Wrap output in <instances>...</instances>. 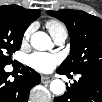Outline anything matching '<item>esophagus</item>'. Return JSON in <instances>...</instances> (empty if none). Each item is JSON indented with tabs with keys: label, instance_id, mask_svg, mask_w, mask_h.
Here are the masks:
<instances>
[{
	"label": "esophagus",
	"instance_id": "obj_1",
	"mask_svg": "<svg viewBox=\"0 0 102 102\" xmlns=\"http://www.w3.org/2000/svg\"><path fill=\"white\" fill-rule=\"evenodd\" d=\"M54 78L51 76H42L41 77V81L42 83H49L50 81H52Z\"/></svg>",
	"mask_w": 102,
	"mask_h": 102
}]
</instances>
